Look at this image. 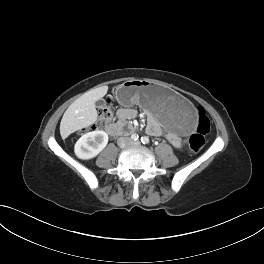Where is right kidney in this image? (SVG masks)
I'll list each match as a JSON object with an SVG mask.
<instances>
[{"label":"right kidney","instance_id":"obj_1","mask_svg":"<svg viewBox=\"0 0 264 264\" xmlns=\"http://www.w3.org/2000/svg\"><path fill=\"white\" fill-rule=\"evenodd\" d=\"M108 135L104 131L96 130L84 134L74 147L76 156L82 160L96 157L107 145Z\"/></svg>","mask_w":264,"mask_h":264}]
</instances>
